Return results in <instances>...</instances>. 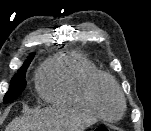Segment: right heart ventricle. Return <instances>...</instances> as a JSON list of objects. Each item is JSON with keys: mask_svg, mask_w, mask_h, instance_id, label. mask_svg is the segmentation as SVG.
<instances>
[{"mask_svg": "<svg viewBox=\"0 0 151 131\" xmlns=\"http://www.w3.org/2000/svg\"><path fill=\"white\" fill-rule=\"evenodd\" d=\"M101 72L78 51H68L49 59L37 75L40 96L48 103L99 117L91 101V86Z\"/></svg>", "mask_w": 151, "mask_h": 131, "instance_id": "obj_1", "label": "right heart ventricle"}]
</instances>
